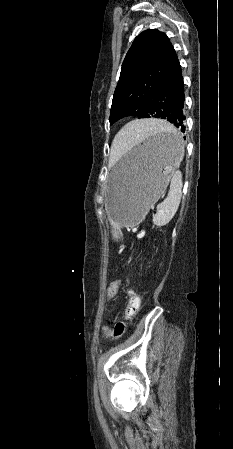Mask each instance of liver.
Instances as JSON below:
<instances>
[{"instance_id": "liver-1", "label": "liver", "mask_w": 233, "mask_h": 449, "mask_svg": "<svg viewBox=\"0 0 233 449\" xmlns=\"http://www.w3.org/2000/svg\"><path fill=\"white\" fill-rule=\"evenodd\" d=\"M144 124H149L151 122H157L159 124H161L164 127L170 128L171 126L166 123V122H162V121H156V120H143ZM134 130L135 127L133 126L132 123L126 125L115 137L114 141H113V148L112 151L116 153L117 148L123 143L126 142L128 137L132 134H134Z\"/></svg>"}]
</instances>
